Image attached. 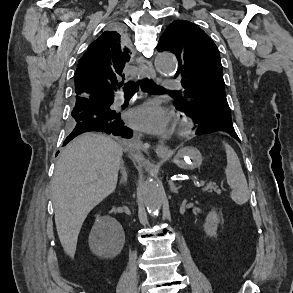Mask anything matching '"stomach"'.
I'll list each match as a JSON object with an SVG mask.
<instances>
[{
	"mask_svg": "<svg viewBox=\"0 0 293 293\" xmlns=\"http://www.w3.org/2000/svg\"><path fill=\"white\" fill-rule=\"evenodd\" d=\"M172 161L179 168L193 170L201 165L202 155L197 148L187 146L178 150Z\"/></svg>",
	"mask_w": 293,
	"mask_h": 293,
	"instance_id": "0dacf381",
	"label": "stomach"
}]
</instances>
